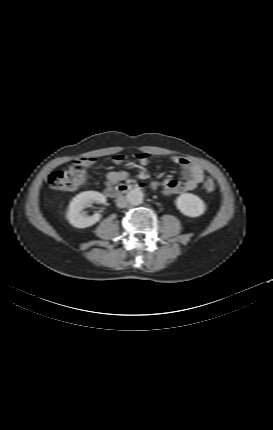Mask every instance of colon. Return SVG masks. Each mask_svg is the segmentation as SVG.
Segmentation results:
<instances>
[{
	"mask_svg": "<svg viewBox=\"0 0 273 430\" xmlns=\"http://www.w3.org/2000/svg\"><path fill=\"white\" fill-rule=\"evenodd\" d=\"M88 166L80 165V159H78L71 166L52 172L48 178L50 188L55 191L77 189L87 180ZM203 188L206 192H213L216 189V184L212 178H207Z\"/></svg>",
	"mask_w": 273,
	"mask_h": 430,
	"instance_id": "5ec220e1",
	"label": "colon"
}]
</instances>
